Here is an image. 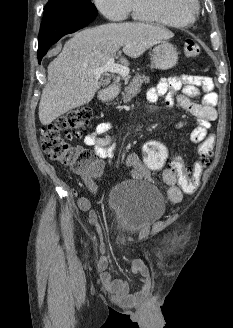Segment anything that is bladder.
<instances>
[{"label": "bladder", "instance_id": "31cf9c89", "mask_svg": "<svg viewBox=\"0 0 233 328\" xmlns=\"http://www.w3.org/2000/svg\"><path fill=\"white\" fill-rule=\"evenodd\" d=\"M107 205L120 230L138 233L160 220L166 210L161 191L154 185L136 180L111 187Z\"/></svg>", "mask_w": 233, "mask_h": 328}]
</instances>
